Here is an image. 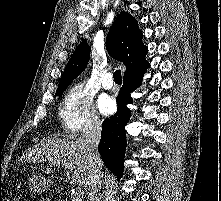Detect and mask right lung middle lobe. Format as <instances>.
Returning a JSON list of instances; mask_svg holds the SVG:
<instances>
[{"instance_id": "1", "label": "right lung middle lobe", "mask_w": 221, "mask_h": 201, "mask_svg": "<svg viewBox=\"0 0 221 201\" xmlns=\"http://www.w3.org/2000/svg\"><path fill=\"white\" fill-rule=\"evenodd\" d=\"M64 91L56 92V96H62Z\"/></svg>"}]
</instances>
